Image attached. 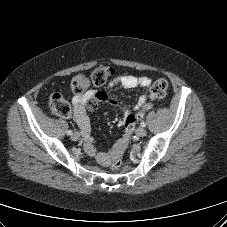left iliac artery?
Here are the masks:
<instances>
[{"label":"left iliac artery","mask_w":227,"mask_h":227,"mask_svg":"<svg viewBox=\"0 0 227 227\" xmlns=\"http://www.w3.org/2000/svg\"><path fill=\"white\" fill-rule=\"evenodd\" d=\"M141 126L142 127H145L146 126V123L145 122H141Z\"/></svg>","instance_id":"1"}]
</instances>
